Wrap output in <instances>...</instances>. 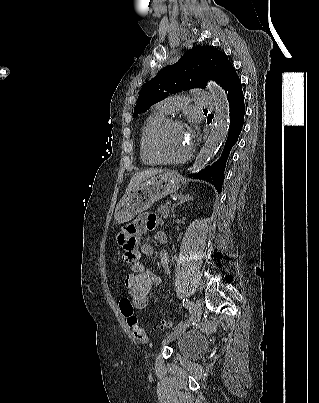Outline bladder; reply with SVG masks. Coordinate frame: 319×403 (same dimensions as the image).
<instances>
[{
	"instance_id": "1",
	"label": "bladder",
	"mask_w": 319,
	"mask_h": 403,
	"mask_svg": "<svg viewBox=\"0 0 319 403\" xmlns=\"http://www.w3.org/2000/svg\"><path fill=\"white\" fill-rule=\"evenodd\" d=\"M204 349V339L199 334L180 335L175 345V352L186 358L198 357Z\"/></svg>"
}]
</instances>
